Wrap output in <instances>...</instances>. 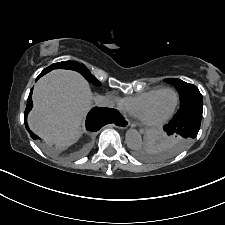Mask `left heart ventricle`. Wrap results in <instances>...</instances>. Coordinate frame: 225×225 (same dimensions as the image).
I'll return each mask as SVG.
<instances>
[{"label":"left heart ventricle","instance_id":"left-heart-ventricle-1","mask_svg":"<svg viewBox=\"0 0 225 225\" xmlns=\"http://www.w3.org/2000/svg\"><path fill=\"white\" fill-rule=\"evenodd\" d=\"M176 104V95L167 91L159 95L146 114L149 122H158L167 117Z\"/></svg>","mask_w":225,"mask_h":225}]
</instances>
